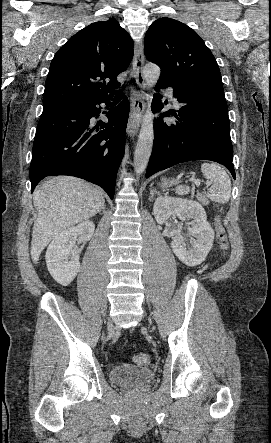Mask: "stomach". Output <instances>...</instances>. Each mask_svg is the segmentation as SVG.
<instances>
[{
  "mask_svg": "<svg viewBox=\"0 0 271 443\" xmlns=\"http://www.w3.org/2000/svg\"><path fill=\"white\" fill-rule=\"evenodd\" d=\"M174 184H180V180H163V184H160V188H171Z\"/></svg>",
  "mask_w": 271,
  "mask_h": 443,
  "instance_id": "obj_1",
  "label": "stomach"
}]
</instances>
